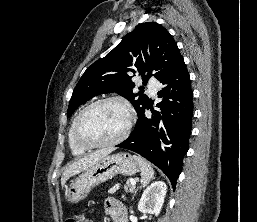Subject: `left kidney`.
<instances>
[{
    "label": "left kidney",
    "instance_id": "1",
    "mask_svg": "<svg viewBox=\"0 0 257 222\" xmlns=\"http://www.w3.org/2000/svg\"><path fill=\"white\" fill-rule=\"evenodd\" d=\"M167 185L163 181H155L149 185L142 194L138 210L142 213L158 216L164 203Z\"/></svg>",
    "mask_w": 257,
    "mask_h": 222
}]
</instances>
